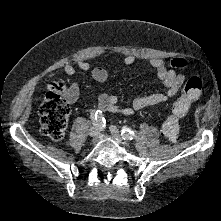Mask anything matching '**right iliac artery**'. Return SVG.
<instances>
[{"instance_id":"obj_1","label":"right iliac artery","mask_w":221,"mask_h":221,"mask_svg":"<svg viewBox=\"0 0 221 221\" xmlns=\"http://www.w3.org/2000/svg\"><path fill=\"white\" fill-rule=\"evenodd\" d=\"M91 119H92L94 126L103 127L105 124V118L102 114V111H100V110H97V111L92 110Z\"/></svg>"}]
</instances>
